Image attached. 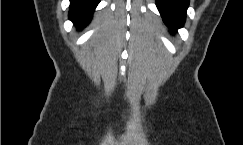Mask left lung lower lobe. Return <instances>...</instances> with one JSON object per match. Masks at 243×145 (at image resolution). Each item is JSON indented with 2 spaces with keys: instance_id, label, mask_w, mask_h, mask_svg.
Wrapping results in <instances>:
<instances>
[{
  "instance_id": "1",
  "label": "left lung lower lobe",
  "mask_w": 243,
  "mask_h": 145,
  "mask_svg": "<svg viewBox=\"0 0 243 145\" xmlns=\"http://www.w3.org/2000/svg\"><path fill=\"white\" fill-rule=\"evenodd\" d=\"M164 23L173 30L183 26L189 0H156Z\"/></svg>"
}]
</instances>
